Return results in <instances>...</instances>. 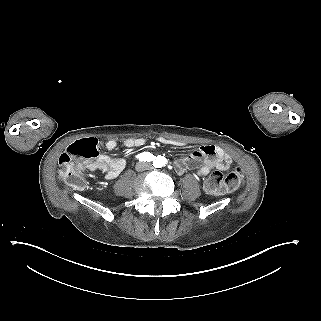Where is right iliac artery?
Returning <instances> with one entry per match:
<instances>
[{
	"instance_id": "obj_1",
	"label": "right iliac artery",
	"mask_w": 321,
	"mask_h": 321,
	"mask_svg": "<svg viewBox=\"0 0 321 321\" xmlns=\"http://www.w3.org/2000/svg\"><path fill=\"white\" fill-rule=\"evenodd\" d=\"M138 160L140 161H153L155 159V156L151 154L150 152H143L136 156Z\"/></svg>"
}]
</instances>
